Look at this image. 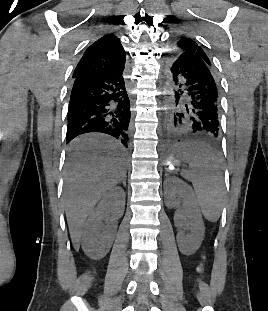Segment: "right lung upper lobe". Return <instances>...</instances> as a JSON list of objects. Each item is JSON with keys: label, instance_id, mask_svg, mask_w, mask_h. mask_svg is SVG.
I'll return each mask as SVG.
<instances>
[{"label": "right lung upper lobe", "instance_id": "obj_1", "mask_svg": "<svg viewBox=\"0 0 268 311\" xmlns=\"http://www.w3.org/2000/svg\"><path fill=\"white\" fill-rule=\"evenodd\" d=\"M125 51L120 39L112 34H106L95 41L80 59L73 78L85 74L108 73L124 68Z\"/></svg>", "mask_w": 268, "mask_h": 311}]
</instances>
